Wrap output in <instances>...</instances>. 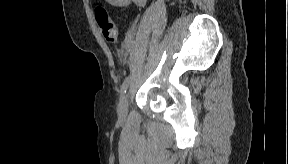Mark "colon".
<instances>
[{
	"instance_id": "obj_1",
	"label": "colon",
	"mask_w": 288,
	"mask_h": 164,
	"mask_svg": "<svg viewBox=\"0 0 288 164\" xmlns=\"http://www.w3.org/2000/svg\"><path fill=\"white\" fill-rule=\"evenodd\" d=\"M96 22L102 30L103 36L110 42H115L119 38V27L112 21L104 9L96 12Z\"/></svg>"
}]
</instances>
